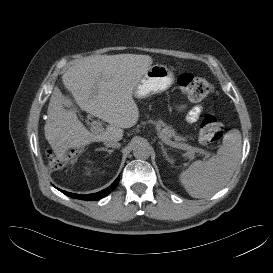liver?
<instances>
[{
	"label": "liver",
	"mask_w": 273,
	"mask_h": 273,
	"mask_svg": "<svg viewBox=\"0 0 273 273\" xmlns=\"http://www.w3.org/2000/svg\"><path fill=\"white\" fill-rule=\"evenodd\" d=\"M152 62L149 55H96L71 66L62 76L65 88L82 110L109 125L99 132L88 131L75 111L66 109L72 102L55 87L44 132L56 157L62 159L72 148L106 138L121 140L123 129L134 126L139 119L133 91Z\"/></svg>",
	"instance_id": "obj_1"
}]
</instances>
